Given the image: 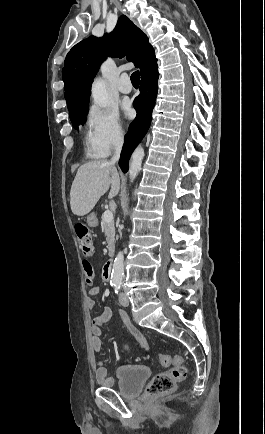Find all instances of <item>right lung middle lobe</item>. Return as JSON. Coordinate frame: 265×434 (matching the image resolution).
Segmentation results:
<instances>
[{"label": "right lung middle lobe", "mask_w": 265, "mask_h": 434, "mask_svg": "<svg viewBox=\"0 0 265 434\" xmlns=\"http://www.w3.org/2000/svg\"><path fill=\"white\" fill-rule=\"evenodd\" d=\"M67 106L74 128H77L79 124L83 125L86 121V115L89 110V97L68 103Z\"/></svg>", "instance_id": "obj_1"}]
</instances>
